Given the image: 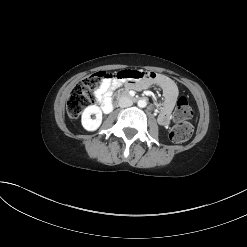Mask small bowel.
Wrapping results in <instances>:
<instances>
[{"mask_svg":"<svg viewBox=\"0 0 247 247\" xmlns=\"http://www.w3.org/2000/svg\"><path fill=\"white\" fill-rule=\"evenodd\" d=\"M149 82L157 83L163 91L164 99L158 115V122L162 126H168L172 109L178 97V88L174 81L165 75L145 70H123L115 73L113 78H106L96 91L95 97L102 110L108 113L113 108L112 96L118 88L126 84L130 89L141 90L146 88Z\"/></svg>","mask_w":247,"mask_h":247,"instance_id":"obj_1","label":"small bowel"}]
</instances>
